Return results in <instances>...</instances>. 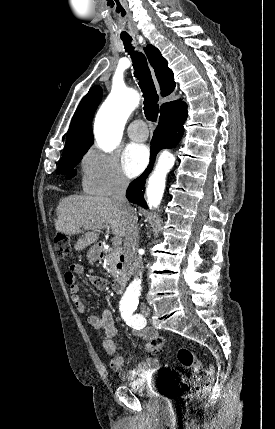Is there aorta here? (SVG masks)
I'll list each match as a JSON object with an SVG mask.
<instances>
[{
    "label": "aorta",
    "instance_id": "obj_1",
    "mask_svg": "<svg viewBox=\"0 0 275 429\" xmlns=\"http://www.w3.org/2000/svg\"><path fill=\"white\" fill-rule=\"evenodd\" d=\"M138 104V95L133 91L114 90L100 108L96 121V140L101 149L112 151L120 142L126 120ZM174 158L170 154L160 158L158 165L148 180L147 202L150 208L158 207L164 193L166 175ZM138 295V282L134 281L123 297L127 304L134 303Z\"/></svg>",
    "mask_w": 275,
    "mask_h": 429
}]
</instances>
